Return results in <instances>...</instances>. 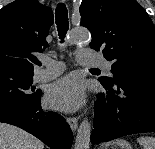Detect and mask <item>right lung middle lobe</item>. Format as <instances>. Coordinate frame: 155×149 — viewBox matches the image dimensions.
I'll return each mask as SVG.
<instances>
[{"instance_id": "1", "label": "right lung middle lobe", "mask_w": 155, "mask_h": 149, "mask_svg": "<svg viewBox=\"0 0 155 149\" xmlns=\"http://www.w3.org/2000/svg\"><path fill=\"white\" fill-rule=\"evenodd\" d=\"M32 73H22L0 67V105H29L41 97L40 91H35Z\"/></svg>"}]
</instances>
